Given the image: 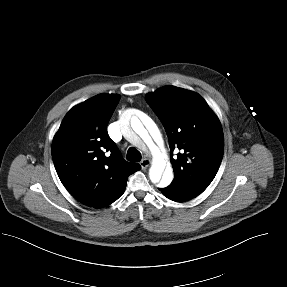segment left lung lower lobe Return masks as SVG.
Instances as JSON below:
<instances>
[{"mask_svg": "<svg viewBox=\"0 0 287 287\" xmlns=\"http://www.w3.org/2000/svg\"><path fill=\"white\" fill-rule=\"evenodd\" d=\"M159 190L165 197L175 202H185L195 198V196H193L192 194L172 184H170L166 188H159Z\"/></svg>", "mask_w": 287, "mask_h": 287, "instance_id": "0a47b994", "label": "left lung lower lobe"}]
</instances>
